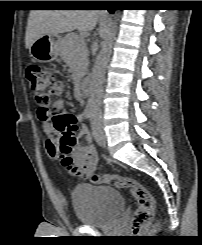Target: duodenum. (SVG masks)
I'll list each match as a JSON object with an SVG mask.
<instances>
[{"label": "duodenum", "instance_id": "obj_1", "mask_svg": "<svg viewBox=\"0 0 202 245\" xmlns=\"http://www.w3.org/2000/svg\"><path fill=\"white\" fill-rule=\"evenodd\" d=\"M90 87V78L89 77H84L81 79L79 83V89L82 94H85L88 92Z\"/></svg>", "mask_w": 202, "mask_h": 245}]
</instances>
